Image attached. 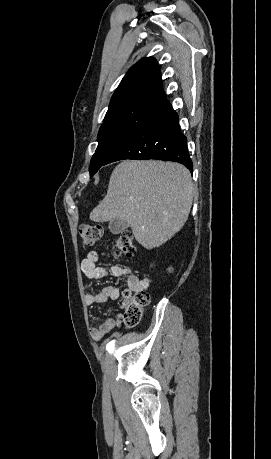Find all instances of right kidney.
Masks as SVG:
<instances>
[{
  "label": "right kidney",
  "instance_id": "right-kidney-1",
  "mask_svg": "<svg viewBox=\"0 0 271 459\" xmlns=\"http://www.w3.org/2000/svg\"><path fill=\"white\" fill-rule=\"evenodd\" d=\"M168 271H172V267H168Z\"/></svg>",
  "mask_w": 271,
  "mask_h": 459
}]
</instances>
